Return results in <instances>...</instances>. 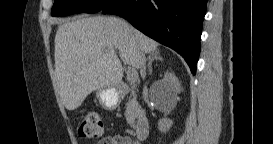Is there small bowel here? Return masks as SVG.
Here are the masks:
<instances>
[{"mask_svg":"<svg viewBox=\"0 0 273 144\" xmlns=\"http://www.w3.org/2000/svg\"><path fill=\"white\" fill-rule=\"evenodd\" d=\"M100 143H105V144H131L132 140L128 136H121V135H116L112 137L106 138L104 141Z\"/></svg>","mask_w":273,"mask_h":144,"instance_id":"obj_1","label":"small bowel"}]
</instances>
